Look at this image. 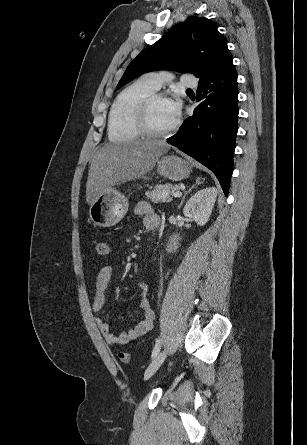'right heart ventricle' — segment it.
I'll return each instance as SVG.
<instances>
[{"instance_id": "1", "label": "right heart ventricle", "mask_w": 307, "mask_h": 445, "mask_svg": "<svg viewBox=\"0 0 307 445\" xmlns=\"http://www.w3.org/2000/svg\"><path fill=\"white\" fill-rule=\"evenodd\" d=\"M155 91L148 81H138L125 89L113 103L108 120L110 140H144L138 106Z\"/></svg>"}]
</instances>
